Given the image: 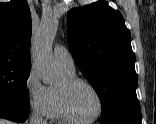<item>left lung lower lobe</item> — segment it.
I'll list each match as a JSON object with an SVG mask.
<instances>
[{
	"label": "left lung lower lobe",
	"mask_w": 156,
	"mask_h": 124,
	"mask_svg": "<svg viewBox=\"0 0 156 124\" xmlns=\"http://www.w3.org/2000/svg\"><path fill=\"white\" fill-rule=\"evenodd\" d=\"M112 124H136V123H122V122H120V123H112ZM138 124H140V123H138Z\"/></svg>",
	"instance_id": "left-lung-lower-lobe-1"
}]
</instances>
